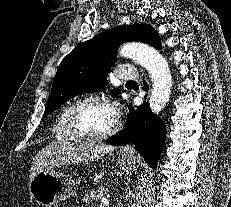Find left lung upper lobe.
<instances>
[{"instance_id": "1", "label": "left lung upper lobe", "mask_w": 231, "mask_h": 207, "mask_svg": "<svg viewBox=\"0 0 231 207\" xmlns=\"http://www.w3.org/2000/svg\"><path fill=\"white\" fill-rule=\"evenodd\" d=\"M127 41L161 49L158 33L149 24L119 26L81 43L59 65L44 117L74 96L104 91L107 73L117 61L118 46ZM118 93L119 89L111 91L113 97Z\"/></svg>"}]
</instances>
